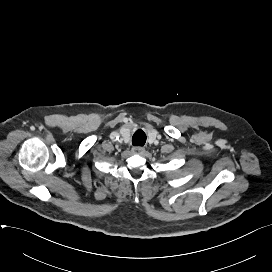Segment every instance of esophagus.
Instances as JSON below:
<instances>
[{
	"mask_svg": "<svg viewBox=\"0 0 272 272\" xmlns=\"http://www.w3.org/2000/svg\"><path fill=\"white\" fill-rule=\"evenodd\" d=\"M133 153L135 154H143L145 152V149L140 146H136L132 148Z\"/></svg>",
	"mask_w": 272,
	"mask_h": 272,
	"instance_id": "obj_1",
	"label": "esophagus"
}]
</instances>
